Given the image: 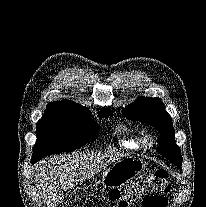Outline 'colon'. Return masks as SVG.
<instances>
[{
	"label": "colon",
	"instance_id": "colon-1",
	"mask_svg": "<svg viewBox=\"0 0 206 207\" xmlns=\"http://www.w3.org/2000/svg\"><path fill=\"white\" fill-rule=\"evenodd\" d=\"M170 190L169 174L160 168L139 175L130 183L127 190L113 191L110 198L118 207H127L140 198H143L144 207H164Z\"/></svg>",
	"mask_w": 206,
	"mask_h": 207
}]
</instances>
